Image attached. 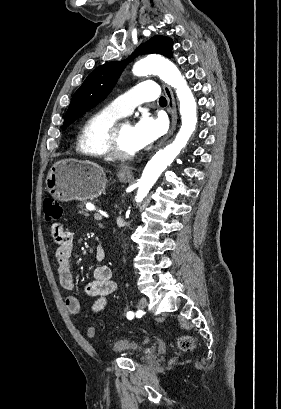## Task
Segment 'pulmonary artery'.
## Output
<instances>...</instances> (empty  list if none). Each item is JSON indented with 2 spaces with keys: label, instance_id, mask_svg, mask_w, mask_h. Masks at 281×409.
<instances>
[{
  "label": "pulmonary artery",
  "instance_id": "obj_1",
  "mask_svg": "<svg viewBox=\"0 0 281 409\" xmlns=\"http://www.w3.org/2000/svg\"><path fill=\"white\" fill-rule=\"evenodd\" d=\"M158 92L154 81H137L132 90L123 91V97L113 98L111 109L119 115H126L134 106L154 101Z\"/></svg>",
  "mask_w": 281,
  "mask_h": 409
}]
</instances>
